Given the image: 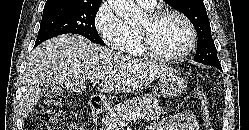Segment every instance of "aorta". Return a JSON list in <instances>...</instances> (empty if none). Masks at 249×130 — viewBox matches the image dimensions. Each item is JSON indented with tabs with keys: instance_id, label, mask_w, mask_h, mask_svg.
I'll use <instances>...</instances> for the list:
<instances>
[{
	"instance_id": "aorta-1",
	"label": "aorta",
	"mask_w": 249,
	"mask_h": 130,
	"mask_svg": "<svg viewBox=\"0 0 249 130\" xmlns=\"http://www.w3.org/2000/svg\"><path fill=\"white\" fill-rule=\"evenodd\" d=\"M108 3L115 13L126 21H136L142 16L140 8L133 0H108Z\"/></svg>"
}]
</instances>
